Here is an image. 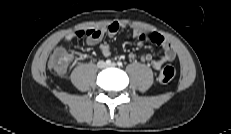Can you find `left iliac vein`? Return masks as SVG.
Listing matches in <instances>:
<instances>
[{"label": "left iliac vein", "instance_id": "left-iliac-vein-1", "mask_svg": "<svg viewBox=\"0 0 231 134\" xmlns=\"http://www.w3.org/2000/svg\"><path fill=\"white\" fill-rule=\"evenodd\" d=\"M108 66H110V67H115L116 66V64L115 63H111L110 65H108Z\"/></svg>", "mask_w": 231, "mask_h": 134}]
</instances>
